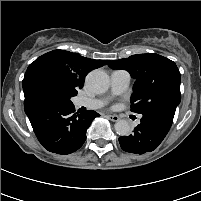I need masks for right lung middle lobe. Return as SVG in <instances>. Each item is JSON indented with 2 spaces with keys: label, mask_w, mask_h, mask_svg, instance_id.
<instances>
[{
  "label": "right lung middle lobe",
  "mask_w": 201,
  "mask_h": 201,
  "mask_svg": "<svg viewBox=\"0 0 201 201\" xmlns=\"http://www.w3.org/2000/svg\"><path fill=\"white\" fill-rule=\"evenodd\" d=\"M41 96L59 101L62 103H72L70 98L73 96L68 93L60 84L53 80H45L40 85Z\"/></svg>",
  "instance_id": "dd1d6c3e"
}]
</instances>
